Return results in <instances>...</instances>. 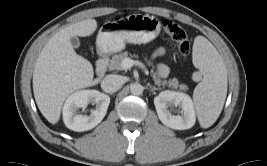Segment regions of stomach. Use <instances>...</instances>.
<instances>
[{"label":"stomach","instance_id":"obj_1","mask_svg":"<svg viewBox=\"0 0 267 166\" xmlns=\"http://www.w3.org/2000/svg\"><path fill=\"white\" fill-rule=\"evenodd\" d=\"M161 31L158 18L149 15L132 14L118 21L103 24L96 39L97 51L111 54L121 51L126 43L145 44L154 40Z\"/></svg>","mask_w":267,"mask_h":166}]
</instances>
